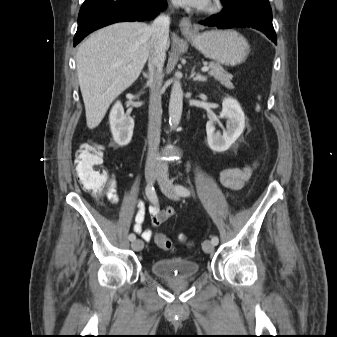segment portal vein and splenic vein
Masks as SVG:
<instances>
[{
  "label": "portal vein and splenic vein",
  "mask_w": 337,
  "mask_h": 337,
  "mask_svg": "<svg viewBox=\"0 0 337 337\" xmlns=\"http://www.w3.org/2000/svg\"><path fill=\"white\" fill-rule=\"evenodd\" d=\"M202 71H203V72H207V71H209V67H207V66H204V67L202 68Z\"/></svg>",
  "instance_id": "portal-vein-and-splenic-vein-1"
}]
</instances>
